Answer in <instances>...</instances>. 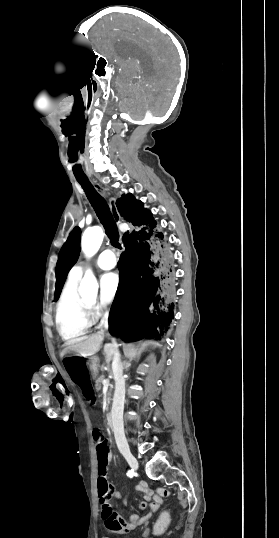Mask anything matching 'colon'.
Returning a JSON list of instances; mask_svg holds the SVG:
<instances>
[{
	"instance_id": "5ec220e1",
	"label": "colon",
	"mask_w": 279,
	"mask_h": 538,
	"mask_svg": "<svg viewBox=\"0 0 279 538\" xmlns=\"http://www.w3.org/2000/svg\"><path fill=\"white\" fill-rule=\"evenodd\" d=\"M93 439L98 459V493L102 506V515L109 517L114 513L109 502V483L106 474L110 446L105 434L101 430L97 429L93 431Z\"/></svg>"
}]
</instances>
